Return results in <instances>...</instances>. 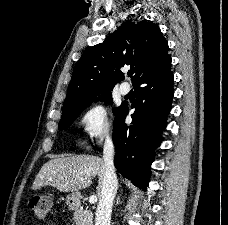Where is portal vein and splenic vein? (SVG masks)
I'll list each match as a JSON object with an SVG mask.
<instances>
[{"label":"portal vein and splenic vein","mask_w":228,"mask_h":225,"mask_svg":"<svg viewBox=\"0 0 228 225\" xmlns=\"http://www.w3.org/2000/svg\"><path fill=\"white\" fill-rule=\"evenodd\" d=\"M80 181H84V179H80ZM89 203H97V197H90Z\"/></svg>","instance_id":"portal-vein-and-splenic-vein-1"}]
</instances>
